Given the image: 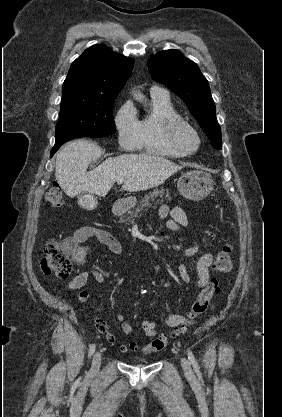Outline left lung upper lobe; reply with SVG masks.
<instances>
[{
  "label": "left lung upper lobe",
  "mask_w": 282,
  "mask_h": 417,
  "mask_svg": "<svg viewBox=\"0 0 282 417\" xmlns=\"http://www.w3.org/2000/svg\"><path fill=\"white\" fill-rule=\"evenodd\" d=\"M147 66L152 79L166 85L188 105L212 146L221 150L222 135L216 119V107L208 81L197 64L180 51L169 49L150 57Z\"/></svg>",
  "instance_id": "1"
}]
</instances>
